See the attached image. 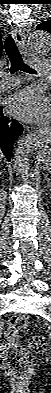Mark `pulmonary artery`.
<instances>
[{
	"label": "pulmonary artery",
	"instance_id": "e3ab8cb5",
	"mask_svg": "<svg viewBox=\"0 0 51 393\" xmlns=\"http://www.w3.org/2000/svg\"><path fill=\"white\" fill-rule=\"evenodd\" d=\"M50 63L47 61H41L38 63V68L41 69L42 72L47 73L49 70ZM5 81H2L0 84L1 88H9L17 83V79L11 77H4Z\"/></svg>",
	"mask_w": 51,
	"mask_h": 393
}]
</instances>
